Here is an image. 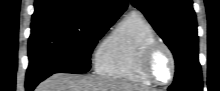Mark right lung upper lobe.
<instances>
[{
  "mask_svg": "<svg viewBox=\"0 0 220 91\" xmlns=\"http://www.w3.org/2000/svg\"><path fill=\"white\" fill-rule=\"evenodd\" d=\"M32 23L73 21L95 26L113 25L128 6L127 0H35Z\"/></svg>",
  "mask_w": 220,
  "mask_h": 91,
  "instance_id": "right-lung-upper-lobe-1",
  "label": "right lung upper lobe"
}]
</instances>
